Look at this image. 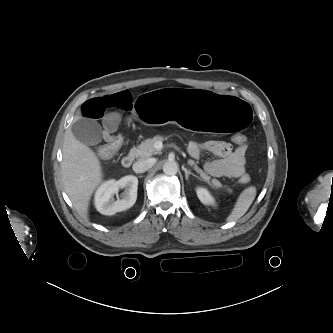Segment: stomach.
I'll list each match as a JSON object with an SVG mask.
<instances>
[{"label": "stomach", "mask_w": 333, "mask_h": 333, "mask_svg": "<svg viewBox=\"0 0 333 333\" xmlns=\"http://www.w3.org/2000/svg\"><path fill=\"white\" fill-rule=\"evenodd\" d=\"M134 105L135 116L147 125L173 123L216 135L239 134L254 119L252 107L244 100L185 86L139 95Z\"/></svg>", "instance_id": "0dacf381"}]
</instances>
